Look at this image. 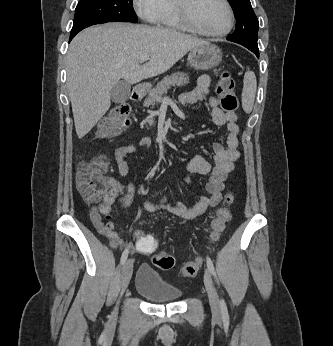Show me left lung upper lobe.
<instances>
[{
  "label": "left lung upper lobe",
  "instance_id": "1",
  "mask_svg": "<svg viewBox=\"0 0 333 346\" xmlns=\"http://www.w3.org/2000/svg\"><path fill=\"white\" fill-rule=\"evenodd\" d=\"M237 20L236 30L227 37L228 40L245 46L258 48V19L252 9L250 0H228Z\"/></svg>",
  "mask_w": 333,
  "mask_h": 346
}]
</instances>
